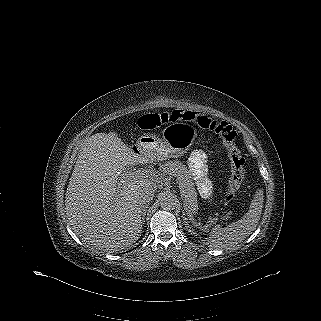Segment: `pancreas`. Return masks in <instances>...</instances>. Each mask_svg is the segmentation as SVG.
Masks as SVG:
<instances>
[{
    "mask_svg": "<svg viewBox=\"0 0 321 321\" xmlns=\"http://www.w3.org/2000/svg\"><path fill=\"white\" fill-rule=\"evenodd\" d=\"M163 173L176 177L184 198V205L190 214H194L198 210L197 195L194 183L187 167L179 161H167L161 166Z\"/></svg>",
    "mask_w": 321,
    "mask_h": 321,
    "instance_id": "obj_1",
    "label": "pancreas"
}]
</instances>
